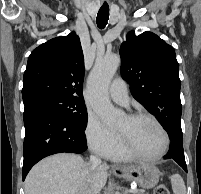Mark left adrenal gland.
<instances>
[{
  "instance_id": "a2214340",
  "label": "left adrenal gland",
  "mask_w": 201,
  "mask_h": 194,
  "mask_svg": "<svg viewBox=\"0 0 201 194\" xmlns=\"http://www.w3.org/2000/svg\"><path fill=\"white\" fill-rule=\"evenodd\" d=\"M124 194H128V193H127V190L125 191V193H124Z\"/></svg>"
}]
</instances>
